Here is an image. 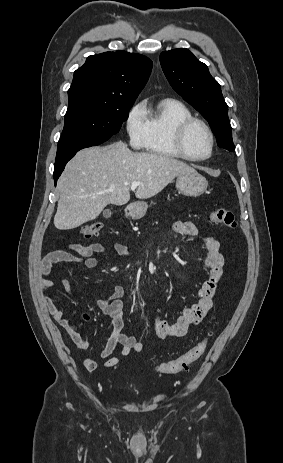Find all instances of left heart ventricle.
<instances>
[{"mask_svg": "<svg viewBox=\"0 0 283 463\" xmlns=\"http://www.w3.org/2000/svg\"><path fill=\"white\" fill-rule=\"evenodd\" d=\"M185 146L187 151L196 157H204L211 149L210 138L201 125H194L186 135Z\"/></svg>", "mask_w": 283, "mask_h": 463, "instance_id": "1", "label": "left heart ventricle"}]
</instances>
